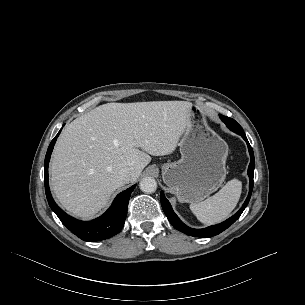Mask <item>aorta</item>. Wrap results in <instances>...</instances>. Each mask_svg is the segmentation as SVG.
<instances>
[{
  "mask_svg": "<svg viewBox=\"0 0 305 305\" xmlns=\"http://www.w3.org/2000/svg\"><path fill=\"white\" fill-rule=\"evenodd\" d=\"M139 186L145 193H154L157 189V182L153 177L146 176L140 181Z\"/></svg>",
  "mask_w": 305,
  "mask_h": 305,
  "instance_id": "762f6f07",
  "label": "aorta"
}]
</instances>
